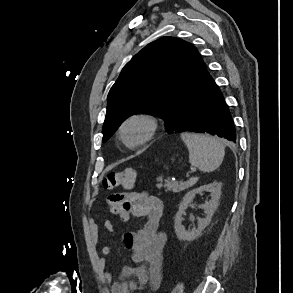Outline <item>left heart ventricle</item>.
<instances>
[{
  "label": "left heart ventricle",
  "instance_id": "left-heart-ventricle-1",
  "mask_svg": "<svg viewBox=\"0 0 293 293\" xmlns=\"http://www.w3.org/2000/svg\"><path fill=\"white\" fill-rule=\"evenodd\" d=\"M146 132V126L141 122H132L125 128V138L128 142L133 143L140 140Z\"/></svg>",
  "mask_w": 293,
  "mask_h": 293
}]
</instances>
